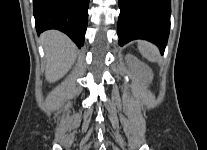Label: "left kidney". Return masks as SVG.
<instances>
[{
    "label": "left kidney",
    "mask_w": 207,
    "mask_h": 150,
    "mask_svg": "<svg viewBox=\"0 0 207 150\" xmlns=\"http://www.w3.org/2000/svg\"><path fill=\"white\" fill-rule=\"evenodd\" d=\"M129 59H132V57H128ZM143 74L147 78V80L150 82L153 78V74L150 68L144 67L143 68Z\"/></svg>",
    "instance_id": "1"
}]
</instances>
